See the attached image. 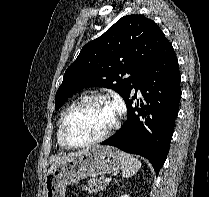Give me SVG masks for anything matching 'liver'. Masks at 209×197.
<instances>
[{
    "label": "liver",
    "instance_id": "6515ba94",
    "mask_svg": "<svg viewBox=\"0 0 209 197\" xmlns=\"http://www.w3.org/2000/svg\"><path fill=\"white\" fill-rule=\"evenodd\" d=\"M86 150H87V149L78 151V152H76V153H70V154L65 155V156H63V157H61V158H58V159L55 160V161L53 162V164L50 166V168H49V170H48V173L52 172L57 166H59V165L65 163V162H67L70 158H72V157H74V156H76V155H79V154L84 153Z\"/></svg>",
    "mask_w": 209,
    "mask_h": 197
}]
</instances>
